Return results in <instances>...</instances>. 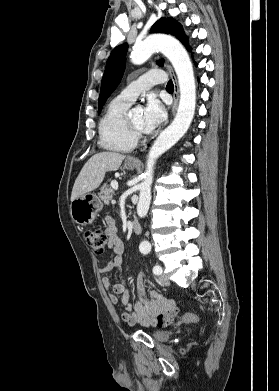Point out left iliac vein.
<instances>
[{
    "instance_id": "1",
    "label": "left iliac vein",
    "mask_w": 279,
    "mask_h": 391,
    "mask_svg": "<svg viewBox=\"0 0 279 391\" xmlns=\"http://www.w3.org/2000/svg\"><path fill=\"white\" fill-rule=\"evenodd\" d=\"M159 281L164 286H169L170 285L169 279L166 276H164V275L160 276Z\"/></svg>"
}]
</instances>
